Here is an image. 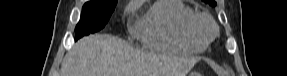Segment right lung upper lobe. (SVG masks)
I'll list each match as a JSON object with an SVG mask.
<instances>
[{"label": "right lung upper lobe", "instance_id": "1", "mask_svg": "<svg viewBox=\"0 0 287 76\" xmlns=\"http://www.w3.org/2000/svg\"><path fill=\"white\" fill-rule=\"evenodd\" d=\"M91 1H105V0H91Z\"/></svg>", "mask_w": 287, "mask_h": 76}]
</instances>
